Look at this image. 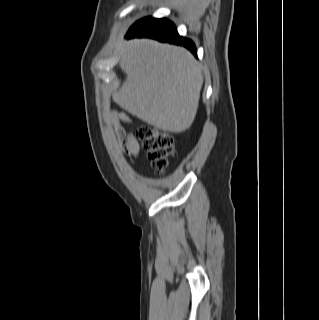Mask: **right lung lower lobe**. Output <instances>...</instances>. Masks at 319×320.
I'll list each match as a JSON object with an SVG mask.
<instances>
[{
    "mask_svg": "<svg viewBox=\"0 0 319 320\" xmlns=\"http://www.w3.org/2000/svg\"><path fill=\"white\" fill-rule=\"evenodd\" d=\"M133 37H149L162 42L183 45L184 47L189 49L195 56L197 55V51L193 42L189 39L179 36L176 27L166 19L150 18L141 25L135 28H130L127 33V38Z\"/></svg>",
    "mask_w": 319,
    "mask_h": 320,
    "instance_id": "1",
    "label": "right lung lower lobe"
}]
</instances>
